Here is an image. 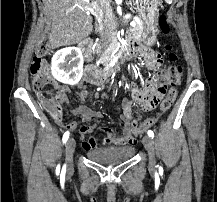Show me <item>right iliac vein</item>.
<instances>
[{"label":"right iliac vein","instance_id":"63e3f726","mask_svg":"<svg viewBox=\"0 0 217 202\" xmlns=\"http://www.w3.org/2000/svg\"><path fill=\"white\" fill-rule=\"evenodd\" d=\"M76 147L74 139L70 138L65 145V156L67 161V168L70 169L73 166V154Z\"/></svg>","mask_w":217,"mask_h":202}]
</instances>
